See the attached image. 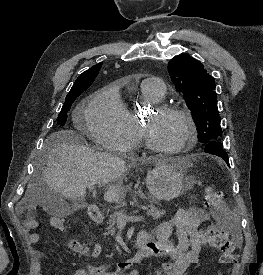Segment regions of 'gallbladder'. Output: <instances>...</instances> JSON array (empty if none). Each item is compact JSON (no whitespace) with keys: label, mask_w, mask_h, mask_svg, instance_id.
Here are the masks:
<instances>
[{"label":"gallbladder","mask_w":263,"mask_h":275,"mask_svg":"<svg viewBox=\"0 0 263 275\" xmlns=\"http://www.w3.org/2000/svg\"><path fill=\"white\" fill-rule=\"evenodd\" d=\"M39 205L51 216L66 217L72 212V207L60 193L45 187L38 198Z\"/></svg>","instance_id":"1"}]
</instances>
